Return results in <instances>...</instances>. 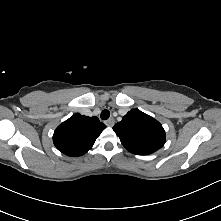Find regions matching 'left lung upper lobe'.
I'll return each mask as SVG.
<instances>
[{"label": "left lung upper lobe", "mask_w": 221, "mask_h": 221, "mask_svg": "<svg viewBox=\"0 0 221 221\" xmlns=\"http://www.w3.org/2000/svg\"><path fill=\"white\" fill-rule=\"evenodd\" d=\"M113 130L123 146L133 154H152L165 143V131L162 125L138 109L129 111L114 125Z\"/></svg>", "instance_id": "1"}]
</instances>
